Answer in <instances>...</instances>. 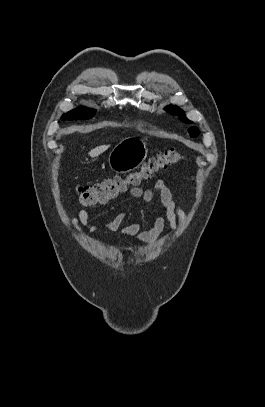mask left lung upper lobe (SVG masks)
Masks as SVG:
<instances>
[{"mask_svg": "<svg viewBox=\"0 0 265 407\" xmlns=\"http://www.w3.org/2000/svg\"><path fill=\"white\" fill-rule=\"evenodd\" d=\"M167 111L170 112L171 114L178 115L179 118L186 123H192L191 121L187 120L184 116L183 110H181L177 106H171L167 108ZM189 134L191 137H196L199 134V130L196 127H191L188 129Z\"/></svg>", "mask_w": 265, "mask_h": 407, "instance_id": "5c2ea615", "label": "left lung upper lobe"}]
</instances>
